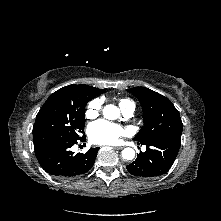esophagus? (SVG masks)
<instances>
[{
    "instance_id": "1",
    "label": "esophagus",
    "mask_w": 221,
    "mask_h": 221,
    "mask_svg": "<svg viewBox=\"0 0 221 221\" xmlns=\"http://www.w3.org/2000/svg\"><path fill=\"white\" fill-rule=\"evenodd\" d=\"M113 149H115V150H122L123 147L122 146H115V147H113Z\"/></svg>"
}]
</instances>
